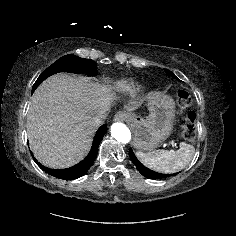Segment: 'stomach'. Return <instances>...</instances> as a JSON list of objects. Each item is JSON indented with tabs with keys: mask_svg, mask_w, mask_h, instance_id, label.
Returning <instances> with one entry per match:
<instances>
[{
	"mask_svg": "<svg viewBox=\"0 0 236 236\" xmlns=\"http://www.w3.org/2000/svg\"><path fill=\"white\" fill-rule=\"evenodd\" d=\"M149 115L143 118L127 112L126 118L134 133L133 145L142 151H151L165 141L173 130L175 103L164 94L155 93L148 100Z\"/></svg>",
	"mask_w": 236,
	"mask_h": 236,
	"instance_id": "0dacf381",
	"label": "stomach"
}]
</instances>
